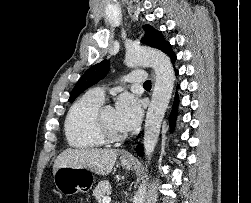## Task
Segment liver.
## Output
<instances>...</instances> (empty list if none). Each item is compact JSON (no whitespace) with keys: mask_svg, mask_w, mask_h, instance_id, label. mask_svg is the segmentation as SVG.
I'll return each instance as SVG.
<instances>
[{"mask_svg":"<svg viewBox=\"0 0 251 203\" xmlns=\"http://www.w3.org/2000/svg\"><path fill=\"white\" fill-rule=\"evenodd\" d=\"M117 155L116 150L68 148L56 158L53 175L64 166L86 168L97 175H108L115 165Z\"/></svg>","mask_w":251,"mask_h":203,"instance_id":"1","label":"liver"}]
</instances>
